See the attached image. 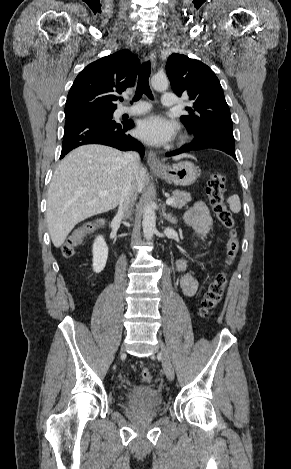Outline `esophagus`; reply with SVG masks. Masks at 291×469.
Returning <instances> with one entry per match:
<instances>
[{
  "label": "esophagus",
  "mask_w": 291,
  "mask_h": 469,
  "mask_svg": "<svg viewBox=\"0 0 291 469\" xmlns=\"http://www.w3.org/2000/svg\"><path fill=\"white\" fill-rule=\"evenodd\" d=\"M148 58L150 59L152 66L155 67L156 66V52L151 48H149ZM147 163L152 169H160L163 167V164L160 161V159L157 157L155 152L151 150L148 151L147 153Z\"/></svg>",
  "instance_id": "1"
}]
</instances>
